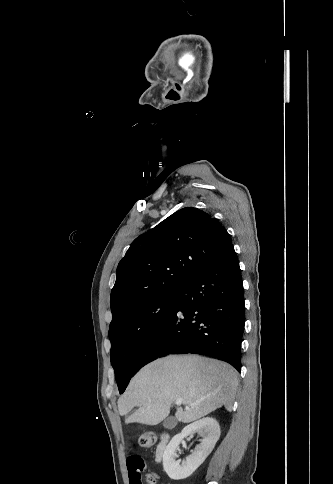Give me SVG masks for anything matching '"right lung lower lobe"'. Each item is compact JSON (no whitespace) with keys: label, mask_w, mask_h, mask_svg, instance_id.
Wrapping results in <instances>:
<instances>
[{"label":"right lung lower lobe","mask_w":333,"mask_h":484,"mask_svg":"<svg viewBox=\"0 0 333 484\" xmlns=\"http://www.w3.org/2000/svg\"><path fill=\"white\" fill-rule=\"evenodd\" d=\"M244 289L233 245L179 290L177 302L145 343L132 376L168 354H201L241 371Z\"/></svg>","instance_id":"1"}]
</instances>
